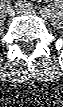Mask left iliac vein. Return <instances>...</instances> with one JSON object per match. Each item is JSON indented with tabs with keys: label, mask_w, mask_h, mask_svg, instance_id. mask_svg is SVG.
<instances>
[{
	"label": "left iliac vein",
	"mask_w": 63,
	"mask_h": 107,
	"mask_svg": "<svg viewBox=\"0 0 63 107\" xmlns=\"http://www.w3.org/2000/svg\"><path fill=\"white\" fill-rule=\"evenodd\" d=\"M17 12L20 14L36 15L37 12L29 5L16 6Z\"/></svg>",
	"instance_id": "1"
}]
</instances>
